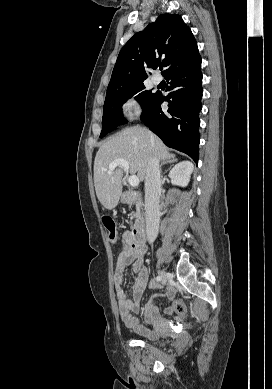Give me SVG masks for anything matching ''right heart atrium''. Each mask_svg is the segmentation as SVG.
<instances>
[{"label": "right heart atrium", "mask_w": 272, "mask_h": 389, "mask_svg": "<svg viewBox=\"0 0 272 389\" xmlns=\"http://www.w3.org/2000/svg\"><path fill=\"white\" fill-rule=\"evenodd\" d=\"M122 111L128 119L134 118L140 114L141 104L134 97L128 98L122 104Z\"/></svg>", "instance_id": "1"}]
</instances>
